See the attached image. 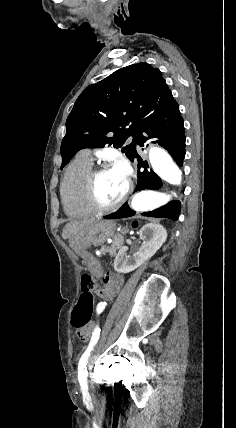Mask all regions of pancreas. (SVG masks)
Listing matches in <instances>:
<instances>
[{"instance_id": "pancreas-1", "label": "pancreas", "mask_w": 236, "mask_h": 428, "mask_svg": "<svg viewBox=\"0 0 236 428\" xmlns=\"http://www.w3.org/2000/svg\"><path fill=\"white\" fill-rule=\"evenodd\" d=\"M122 238L123 236H115L111 246H101V256H106V254H109L111 258H114V256H116L117 250L120 248V246H118V242H121Z\"/></svg>"}]
</instances>
